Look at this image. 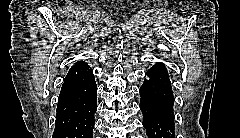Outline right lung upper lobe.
<instances>
[{"instance_id": "obj_1", "label": "right lung upper lobe", "mask_w": 240, "mask_h": 138, "mask_svg": "<svg viewBox=\"0 0 240 138\" xmlns=\"http://www.w3.org/2000/svg\"><path fill=\"white\" fill-rule=\"evenodd\" d=\"M90 74H92V71L89 70V66L85 62L79 61L70 68L63 84L80 80Z\"/></svg>"}]
</instances>
